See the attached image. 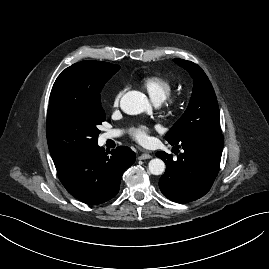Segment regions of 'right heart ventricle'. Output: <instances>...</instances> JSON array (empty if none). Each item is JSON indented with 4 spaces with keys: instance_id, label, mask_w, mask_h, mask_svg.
<instances>
[{
    "instance_id": "1",
    "label": "right heart ventricle",
    "mask_w": 269,
    "mask_h": 269,
    "mask_svg": "<svg viewBox=\"0 0 269 269\" xmlns=\"http://www.w3.org/2000/svg\"><path fill=\"white\" fill-rule=\"evenodd\" d=\"M142 87L147 91L151 99L160 103L168 98L173 90V84L161 76H147L142 80Z\"/></svg>"
}]
</instances>
